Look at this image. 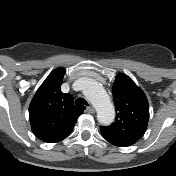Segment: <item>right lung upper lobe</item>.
I'll list each match as a JSON object with an SVG mask.
<instances>
[{
	"label": "right lung upper lobe",
	"mask_w": 176,
	"mask_h": 176,
	"mask_svg": "<svg viewBox=\"0 0 176 176\" xmlns=\"http://www.w3.org/2000/svg\"><path fill=\"white\" fill-rule=\"evenodd\" d=\"M64 68L53 70L37 90L29 106V120L36 137L55 143L66 138L85 109L75 106L71 94L61 92Z\"/></svg>",
	"instance_id": "right-lung-upper-lobe-1"
}]
</instances>
